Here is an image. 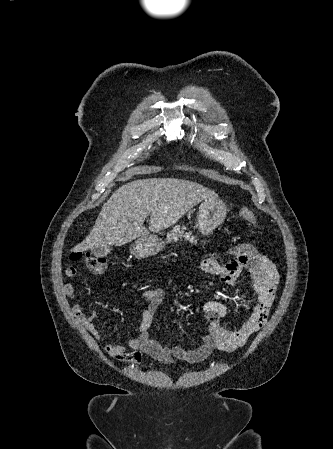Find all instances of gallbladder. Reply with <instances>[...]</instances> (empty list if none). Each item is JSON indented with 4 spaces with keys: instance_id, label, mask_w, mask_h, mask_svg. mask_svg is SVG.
Segmentation results:
<instances>
[{
    "instance_id": "1",
    "label": "gallbladder",
    "mask_w": 333,
    "mask_h": 449,
    "mask_svg": "<svg viewBox=\"0 0 333 449\" xmlns=\"http://www.w3.org/2000/svg\"><path fill=\"white\" fill-rule=\"evenodd\" d=\"M111 251V248L109 246H98L94 249H92V254L95 257H104Z\"/></svg>"
}]
</instances>
